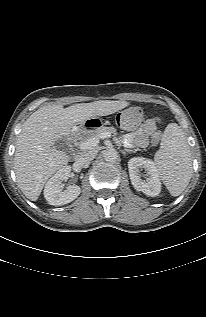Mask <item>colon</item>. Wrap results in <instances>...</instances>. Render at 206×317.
Segmentation results:
<instances>
[{
	"label": "colon",
	"instance_id": "obj_1",
	"mask_svg": "<svg viewBox=\"0 0 206 317\" xmlns=\"http://www.w3.org/2000/svg\"><path fill=\"white\" fill-rule=\"evenodd\" d=\"M143 121V111L137 106L126 108L115 117L116 124L123 129H134ZM160 134L157 136L159 139Z\"/></svg>",
	"mask_w": 206,
	"mask_h": 317
}]
</instances>
